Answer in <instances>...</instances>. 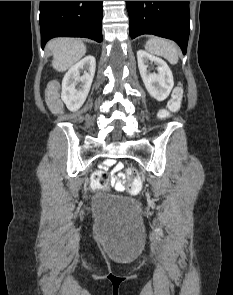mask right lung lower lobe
Masks as SVG:
<instances>
[{
  "mask_svg": "<svg viewBox=\"0 0 233 295\" xmlns=\"http://www.w3.org/2000/svg\"><path fill=\"white\" fill-rule=\"evenodd\" d=\"M41 46L57 36L102 41V1H40Z\"/></svg>",
  "mask_w": 233,
  "mask_h": 295,
  "instance_id": "98d812e1",
  "label": "right lung lower lobe"
}]
</instances>
